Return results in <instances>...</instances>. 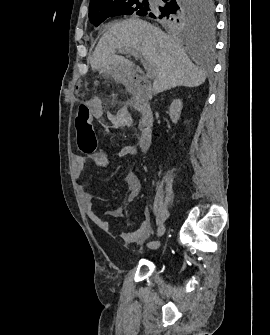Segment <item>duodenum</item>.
Wrapping results in <instances>:
<instances>
[{
  "mask_svg": "<svg viewBox=\"0 0 270 335\" xmlns=\"http://www.w3.org/2000/svg\"><path fill=\"white\" fill-rule=\"evenodd\" d=\"M129 90L137 98L133 105L138 108L141 115L139 123V146L141 147V149L146 150L150 146L152 140V129L154 121L153 113L150 106L141 100V96L144 91L142 85L132 82L129 85Z\"/></svg>",
  "mask_w": 270,
  "mask_h": 335,
  "instance_id": "duodenum-1",
  "label": "duodenum"
}]
</instances>
